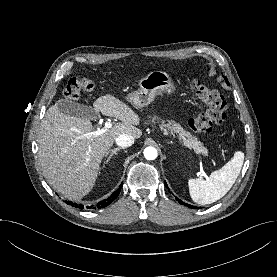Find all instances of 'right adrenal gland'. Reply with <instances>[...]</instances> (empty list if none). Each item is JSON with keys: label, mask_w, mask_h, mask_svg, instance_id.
I'll list each match as a JSON object with an SVG mask.
<instances>
[{"label": "right adrenal gland", "mask_w": 277, "mask_h": 277, "mask_svg": "<svg viewBox=\"0 0 277 277\" xmlns=\"http://www.w3.org/2000/svg\"><path fill=\"white\" fill-rule=\"evenodd\" d=\"M121 149H124V148H121V147H118V148H114V149H111L107 152V159H106V163L109 162V160L111 159V157L117 153V151L121 150Z\"/></svg>", "instance_id": "right-adrenal-gland-1"}]
</instances>
